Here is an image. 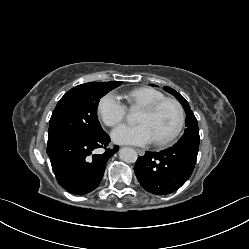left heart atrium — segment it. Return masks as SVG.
I'll return each instance as SVG.
<instances>
[{
    "label": "left heart atrium",
    "instance_id": "left-heart-atrium-1",
    "mask_svg": "<svg viewBox=\"0 0 249 249\" xmlns=\"http://www.w3.org/2000/svg\"><path fill=\"white\" fill-rule=\"evenodd\" d=\"M112 138L117 143L131 145H146L155 141L149 127L144 123L119 126L112 132Z\"/></svg>",
    "mask_w": 249,
    "mask_h": 249
}]
</instances>
